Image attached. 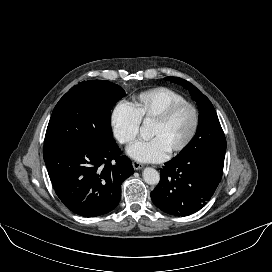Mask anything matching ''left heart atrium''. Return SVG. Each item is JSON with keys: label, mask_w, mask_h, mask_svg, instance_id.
Segmentation results:
<instances>
[{"label": "left heart atrium", "mask_w": 272, "mask_h": 272, "mask_svg": "<svg viewBox=\"0 0 272 272\" xmlns=\"http://www.w3.org/2000/svg\"><path fill=\"white\" fill-rule=\"evenodd\" d=\"M127 153L137 161L154 163L164 160L168 151L160 138L153 137L134 142L128 147Z\"/></svg>", "instance_id": "39dd6f15"}]
</instances>
